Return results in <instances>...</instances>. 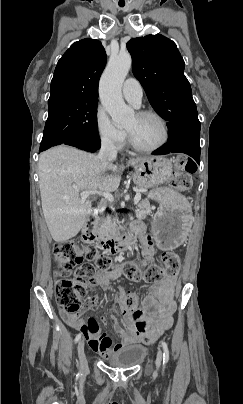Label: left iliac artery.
<instances>
[{"label": "left iliac artery", "mask_w": 243, "mask_h": 404, "mask_svg": "<svg viewBox=\"0 0 243 404\" xmlns=\"http://www.w3.org/2000/svg\"><path fill=\"white\" fill-rule=\"evenodd\" d=\"M164 353H163V363L166 364L169 360V350L165 341H161Z\"/></svg>", "instance_id": "left-iliac-artery-1"}]
</instances>
